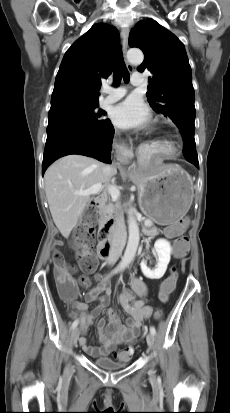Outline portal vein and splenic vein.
Returning <instances> with one entry per match:
<instances>
[{
    "mask_svg": "<svg viewBox=\"0 0 230 413\" xmlns=\"http://www.w3.org/2000/svg\"><path fill=\"white\" fill-rule=\"evenodd\" d=\"M104 189H107L109 195L113 200H118L120 197V191L113 185H102V183H97L90 188L86 190H80V191H75L76 195H81V196H90V195H96L99 194L101 191ZM147 225V223H146Z\"/></svg>",
    "mask_w": 230,
    "mask_h": 413,
    "instance_id": "portal-vein-and-splenic-vein-1",
    "label": "portal vein and splenic vein"
}]
</instances>
